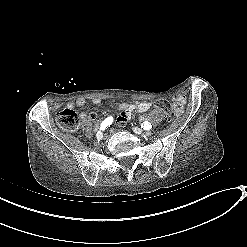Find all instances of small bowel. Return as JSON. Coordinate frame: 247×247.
<instances>
[{"label": "small bowel", "mask_w": 247, "mask_h": 247, "mask_svg": "<svg viewBox=\"0 0 247 247\" xmlns=\"http://www.w3.org/2000/svg\"><path fill=\"white\" fill-rule=\"evenodd\" d=\"M175 104L181 105L183 106V104L185 103V99L183 96L178 95L174 98ZM101 100L99 98H93L92 99V103L95 105L100 104ZM85 104V99L83 98H78L76 100H74L73 102H71L69 104L70 108L73 107H81ZM152 105L149 102H141L138 104H127V103H120L118 105V110H119V116L117 118V122L119 125H124L129 117L131 116V114L133 113H146L151 109ZM156 114H153L152 117H155ZM81 117L82 118H88L89 115L86 112H82L81 113Z\"/></svg>", "instance_id": "small-bowel-1"}]
</instances>
